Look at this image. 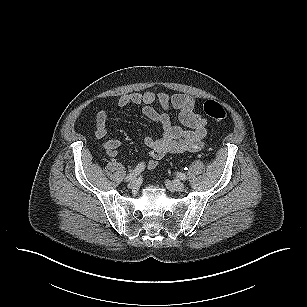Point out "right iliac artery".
I'll return each mask as SVG.
<instances>
[{
	"mask_svg": "<svg viewBox=\"0 0 307 307\" xmlns=\"http://www.w3.org/2000/svg\"><path fill=\"white\" fill-rule=\"evenodd\" d=\"M144 169H145V164L143 162H141L140 164H138L136 166V168L133 171H131L125 177V181L128 182V181L135 179Z\"/></svg>",
	"mask_w": 307,
	"mask_h": 307,
	"instance_id": "right-iliac-artery-1",
	"label": "right iliac artery"
}]
</instances>
